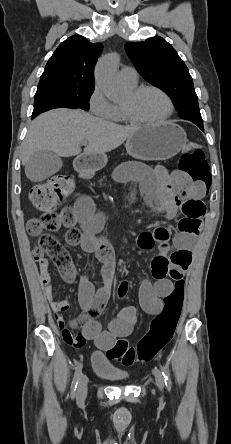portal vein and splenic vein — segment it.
I'll list each match as a JSON object with an SVG mask.
<instances>
[{"instance_id": "18ae733b", "label": "portal vein and splenic vein", "mask_w": 231, "mask_h": 444, "mask_svg": "<svg viewBox=\"0 0 231 444\" xmlns=\"http://www.w3.org/2000/svg\"><path fill=\"white\" fill-rule=\"evenodd\" d=\"M83 145H87V141H82L81 142Z\"/></svg>"}]
</instances>
